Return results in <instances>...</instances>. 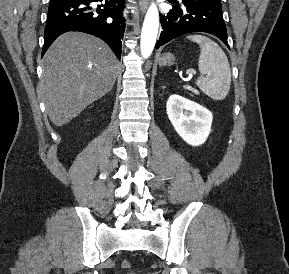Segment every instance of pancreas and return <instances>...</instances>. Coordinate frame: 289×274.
Masks as SVG:
<instances>
[{
    "mask_svg": "<svg viewBox=\"0 0 289 274\" xmlns=\"http://www.w3.org/2000/svg\"><path fill=\"white\" fill-rule=\"evenodd\" d=\"M186 89L192 91V92L195 93V94H198V91H197L196 89L190 87V86H186Z\"/></svg>",
    "mask_w": 289,
    "mask_h": 274,
    "instance_id": "pancreas-1",
    "label": "pancreas"
}]
</instances>
